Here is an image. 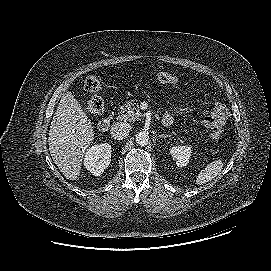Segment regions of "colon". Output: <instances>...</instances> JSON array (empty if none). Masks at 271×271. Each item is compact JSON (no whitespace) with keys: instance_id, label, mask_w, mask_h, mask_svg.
<instances>
[{"instance_id":"5ec220e1","label":"colon","mask_w":271,"mask_h":271,"mask_svg":"<svg viewBox=\"0 0 271 271\" xmlns=\"http://www.w3.org/2000/svg\"><path fill=\"white\" fill-rule=\"evenodd\" d=\"M157 80L161 84L175 86L178 84L177 76L166 73L160 72L157 74ZM102 87V80L98 75H91L85 79L84 82V89L86 92L93 94L91 99L87 104V111L91 115H99L104 110V99L99 94V91ZM219 135L218 132L214 133V136L217 137Z\"/></svg>"}]
</instances>
